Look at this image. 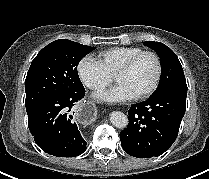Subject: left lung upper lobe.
Returning a JSON list of instances; mask_svg holds the SVG:
<instances>
[{"label":"left lung upper lobe","instance_id":"left-lung-upper-lobe-1","mask_svg":"<svg viewBox=\"0 0 209 179\" xmlns=\"http://www.w3.org/2000/svg\"><path fill=\"white\" fill-rule=\"evenodd\" d=\"M144 44L153 49L159 55L161 61L162 73L160 83L152 96L175 87H187L183 69L176 54L160 42L146 41Z\"/></svg>","mask_w":209,"mask_h":179}]
</instances>
